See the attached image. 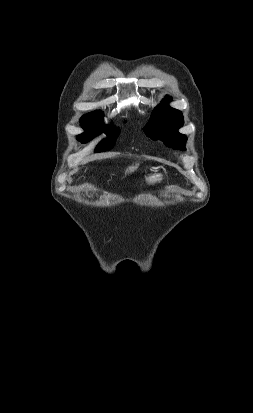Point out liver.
<instances>
[{"mask_svg":"<svg viewBox=\"0 0 253 413\" xmlns=\"http://www.w3.org/2000/svg\"><path fill=\"white\" fill-rule=\"evenodd\" d=\"M138 165H139V164H136L135 166H130V167L127 169V172H133L134 170L137 169Z\"/></svg>","mask_w":253,"mask_h":413,"instance_id":"1","label":"liver"}]
</instances>
